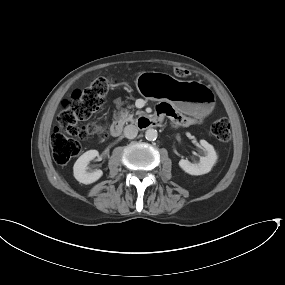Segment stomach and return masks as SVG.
Listing matches in <instances>:
<instances>
[{
	"instance_id": "0dacf381",
	"label": "stomach",
	"mask_w": 285,
	"mask_h": 285,
	"mask_svg": "<svg viewBox=\"0 0 285 285\" xmlns=\"http://www.w3.org/2000/svg\"><path fill=\"white\" fill-rule=\"evenodd\" d=\"M139 93L150 100H166L191 116H206L214 108V94L199 81H181L173 76L147 71L136 79Z\"/></svg>"
}]
</instances>
